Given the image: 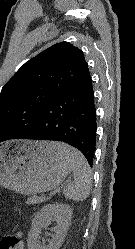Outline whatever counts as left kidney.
Returning <instances> with one entry per match:
<instances>
[{"mask_svg":"<svg viewBox=\"0 0 135 249\" xmlns=\"http://www.w3.org/2000/svg\"><path fill=\"white\" fill-rule=\"evenodd\" d=\"M72 218V208L61 203L48 204L35 215L32 220V227L28 233V249H59L68 231ZM52 221H56V226L52 228L55 232L48 244H41L39 235L43 227L49 226Z\"/></svg>","mask_w":135,"mask_h":249,"instance_id":"obj_1","label":"left kidney"}]
</instances>
